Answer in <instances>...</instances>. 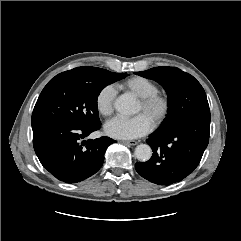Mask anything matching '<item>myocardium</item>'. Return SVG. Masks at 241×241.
Segmentation results:
<instances>
[{"mask_svg": "<svg viewBox=\"0 0 241 241\" xmlns=\"http://www.w3.org/2000/svg\"><path fill=\"white\" fill-rule=\"evenodd\" d=\"M140 103L144 112L150 114L154 126L162 124L170 112V98L163 93L156 92L141 98Z\"/></svg>", "mask_w": 241, "mask_h": 241, "instance_id": "myocardium-1", "label": "myocardium"}]
</instances>
